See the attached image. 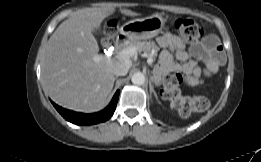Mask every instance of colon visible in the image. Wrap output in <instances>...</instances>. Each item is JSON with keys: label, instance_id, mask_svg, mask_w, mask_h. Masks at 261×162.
<instances>
[{"label": "colon", "instance_id": "1", "mask_svg": "<svg viewBox=\"0 0 261 162\" xmlns=\"http://www.w3.org/2000/svg\"><path fill=\"white\" fill-rule=\"evenodd\" d=\"M175 28L186 41H195L204 35V28L196 21L187 17L178 18L175 21ZM113 35L114 27H108L103 39L104 48H110L113 45ZM186 81L187 78L181 74L165 75L162 97L169 100L185 116L191 111H205L209 106V101L206 97H186L182 95L181 87Z\"/></svg>", "mask_w": 261, "mask_h": 162}]
</instances>
